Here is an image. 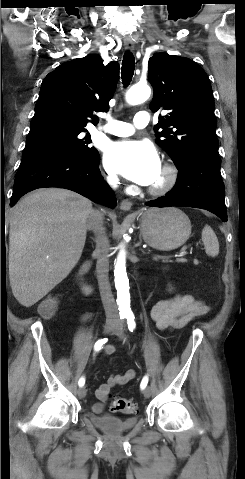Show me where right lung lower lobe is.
Masks as SVG:
<instances>
[{
	"instance_id": "obj_1",
	"label": "right lung lower lobe",
	"mask_w": 245,
	"mask_h": 479,
	"mask_svg": "<svg viewBox=\"0 0 245 479\" xmlns=\"http://www.w3.org/2000/svg\"><path fill=\"white\" fill-rule=\"evenodd\" d=\"M93 161L66 151H46L22 158L15 176L10 205L24 194L43 187H60L75 191L108 207L117 204L113 191L104 181Z\"/></svg>"
}]
</instances>
